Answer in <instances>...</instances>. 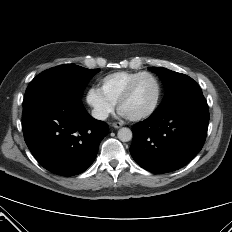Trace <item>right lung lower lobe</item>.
<instances>
[{"label":"right lung lower lobe","mask_w":232,"mask_h":232,"mask_svg":"<svg viewBox=\"0 0 232 232\" xmlns=\"http://www.w3.org/2000/svg\"><path fill=\"white\" fill-rule=\"evenodd\" d=\"M23 107L25 142L44 168L57 175L73 176L93 163L109 127L92 118L80 98L44 96Z\"/></svg>","instance_id":"right-lung-lower-lobe-1"}]
</instances>
